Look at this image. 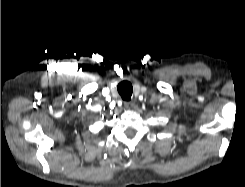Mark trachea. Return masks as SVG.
<instances>
[{
  "mask_svg": "<svg viewBox=\"0 0 245 187\" xmlns=\"http://www.w3.org/2000/svg\"><path fill=\"white\" fill-rule=\"evenodd\" d=\"M118 92L123 100L129 101L133 93V87L129 81H122L118 84Z\"/></svg>",
  "mask_w": 245,
  "mask_h": 187,
  "instance_id": "3493384b",
  "label": "trachea"
}]
</instances>
